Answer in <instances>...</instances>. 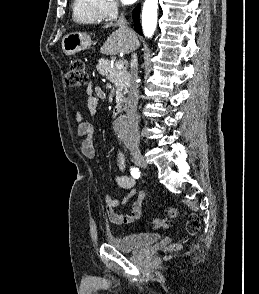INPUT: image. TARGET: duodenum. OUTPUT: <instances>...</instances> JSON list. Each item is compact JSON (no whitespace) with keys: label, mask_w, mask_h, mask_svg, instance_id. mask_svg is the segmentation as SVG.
<instances>
[{"label":"duodenum","mask_w":259,"mask_h":294,"mask_svg":"<svg viewBox=\"0 0 259 294\" xmlns=\"http://www.w3.org/2000/svg\"><path fill=\"white\" fill-rule=\"evenodd\" d=\"M124 111V105L123 104H118L115 108L114 111V116H118L119 114H121Z\"/></svg>","instance_id":"duodenum-1"}]
</instances>
